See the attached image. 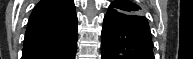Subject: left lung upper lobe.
Listing matches in <instances>:
<instances>
[{"instance_id": "5c2ea615", "label": "left lung upper lobe", "mask_w": 193, "mask_h": 59, "mask_svg": "<svg viewBox=\"0 0 193 59\" xmlns=\"http://www.w3.org/2000/svg\"><path fill=\"white\" fill-rule=\"evenodd\" d=\"M108 11L123 14L132 19H146L141 14V8L130 0H115L110 4Z\"/></svg>"}]
</instances>
